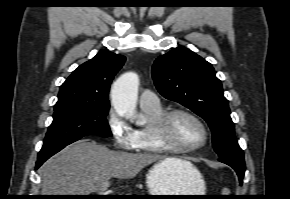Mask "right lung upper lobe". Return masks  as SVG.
<instances>
[{"label":"right lung upper lobe","instance_id":"cb5924a9","mask_svg":"<svg viewBox=\"0 0 290 199\" xmlns=\"http://www.w3.org/2000/svg\"><path fill=\"white\" fill-rule=\"evenodd\" d=\"M125 57L101 50L80 65L61 85L55 108L73 104H109L108 93L114 75Z\"/></svg>","mask_w":290,"mask_h":199}]
</instances>
